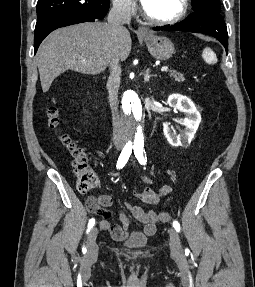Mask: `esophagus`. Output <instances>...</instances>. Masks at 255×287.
I'll return each mask as SVG.
<instances>
[{"mask_svg":"<svg viewBox=\"0 0 255 287\" xmlns=\"http://www.w3.org/2000/svg\"><path fill=\"white\" fill-rule=\"evenodd\" d=\"M138 32L140 34H142L143 36H148L149 35V28L148 27H144V26H140L138 28Z\"/></svg>","mask_w":255,"mask_h":287,"instance_id":"1","label":"esophagus"}]
</instances>
